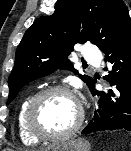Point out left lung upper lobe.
Masks as SVG:
<instances>
[{
    "label": "left lung upper lobe",
    "instance_id": "1",
    "mask_svg": "<svg viewBox=\"0 0 131 151\" xmlns=\"http://www.w3.org/2000/svg\"><path fill=\"white\" fill-rule=\"evenodd\" d=\"M131 35L123 0H58L52 15L34 21L17 47L9 76L10 103L31 81L60 69L78 74L67 56L76 43L90 41L105 52ZM89 87L93 79L79 75Z\"/></svg>",
    "mask_w": 131,
    "mask_h": 151
}]
</instances>
